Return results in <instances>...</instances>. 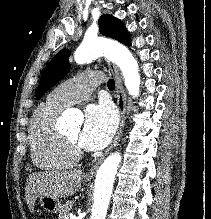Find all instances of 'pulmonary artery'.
Listing matches in <instances>:
<instances>
[{"mask_svg": "<svg viewBox=\"0 0 211 219\" xmlns=\"http://www.w3.org/2000/svg\"><path fill=\"white\" fill-rule=\"evenodd\" d=\"M101 82L100 72H83L60 84L48 98L58 105L67 107L86 99Z\"/></svg>", "mask_w": 211, "mask_h": 219, "instance_id": "pulmonary-artery-1", "label": "pulmonary artery"}]
</instances>
